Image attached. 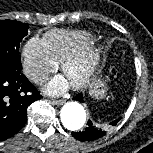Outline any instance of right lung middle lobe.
I'll use <instances>...</instances> for the list:
<instances>
[{
    "label": "right lung middle lobe",
    "instance_id": "1",
    "mask_svg": "<svg viewBox=\"0 0 153 153\" xmlns=\"http://www.w3.org/2000/svg\"><path fill=\"white\" fill-rule=\"evenodd\" d=\"M29 25L14 20L0 21V64L22 70L19 46Z\"/></svg>",
    "mask_w": 153,
    "mask_h": 153
}]
</instances>
